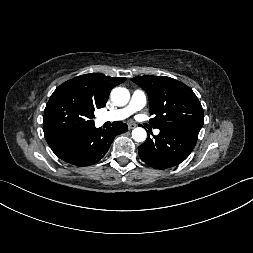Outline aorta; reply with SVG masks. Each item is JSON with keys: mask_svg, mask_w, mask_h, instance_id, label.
<instances>
[{"mask_svg": "<svg viewBox=\"0 0 253 253\" xmlns=\"http://www.w3.org/2000/svg\"><path fill=\"white\" fill-rule=\"evenodd\" d=\"M130 93L127 89L116 87L111 91V100L117 106H124L129 102ZM147 133L145 129L137 127L132 131V138L136 142H143L146 140Z\"/></svg>", "mask_w": 253, "mask_h": 253, "instance_id": "aorta-1", "label": "aorta"}]
</instances>
